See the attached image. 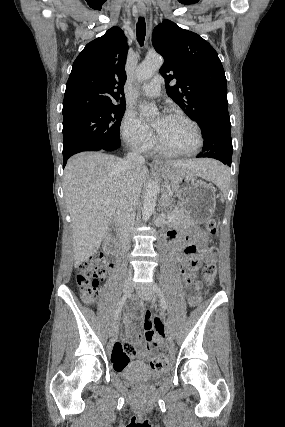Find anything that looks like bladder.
Returning <instances> with one entry per match:
<instances>
[{"mask_svg":"<svg viewBox=\"0 0 285 427\" xmlns=\"http://www.w3.org/2000/svg\"><path fill=\"white\" fill-rule=\"evenodd\" d=\"M115 373L124 381L138 388L158 383L166 377L165 372H153L147 366L140 363L127 364Z\"/></svg>","mask_w":285,"mask_h":427,"instance_id":"1","label":"bladder"}]
</instances>
